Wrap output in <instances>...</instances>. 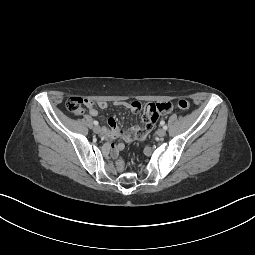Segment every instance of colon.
Here are the masks:
<instances>
[{
  "label": "colon",
  "mask_w": 255,
  "mask_h": 255,
  "mask_svg": "<svg viewBox=\"0 0 255 255\" xmlns=\"http://www.w3.org/2000/svg\"><path fill=\"white\" fill-rule=\"evenodd\" d=\"M90 101L80 98V97H71L67 101V109L75 114V115H80L84 112V105H88ZM177 107L181 110H188L190 108V103L185 100L181 99L177 102ZM118 153V152H117ZM124 168V160L121 157H118L116 160V169L118 171L123 170Z\"/></svg>",
  "instance_id": "5ec220e1"
}]
</instances>
